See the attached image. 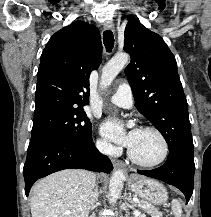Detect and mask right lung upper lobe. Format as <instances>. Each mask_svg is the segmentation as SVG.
<instances>
[{
  "label": "right lung upper lobe",
  "instance_id": "1",
  "mask_svg": "<svg viewBox=\"0 0 211 217\" xmlns=\"http://www.w3.org/2000/svg\"><path fill=\"white\" fill-rule=\"evenodd\" d=\"M102 57L98 29L76 21L48 41L37 74L34 118L57 111L83 110L89 103V76Z\"/></svg>",
  "mask_w": 211,
  "mask_h": 217
}]
</instances>
